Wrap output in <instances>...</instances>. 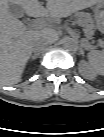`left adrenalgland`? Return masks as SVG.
Segmentation results:
<instances>
[{
  "label": "left adrenal gland",
  "mask_w": 104,
  "mask_h": 137,
  "mask_svg": "<svg viewBox=\"0 0 104 137\" xmlns=\"http://www.w3.org/2000/svg\"><path fill=\"white\" fill-rule=\"evenodd\" d=\"M80 53H81L82 55H84V50H83V49H81V50H80Z\"/></svg>",
  "instance_id": "left-adrenal-gland-1"
}]
</instances>
